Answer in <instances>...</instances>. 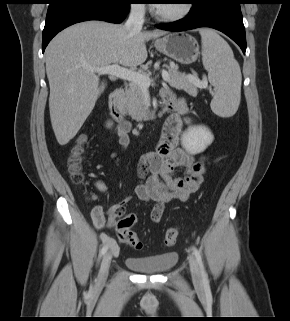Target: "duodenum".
Returning <instances> with one entry per match:
<instances>
[{
  "instance_id": "410a0bca",
  "label": "duodenum",
  "mask_w": 290,
  "mask_h": 321,
  "mask_svg": "<svg viewBox=\"0 0 290 321\" xmlns=\"http://www.w3.org/2000/svg\"><path fill=\"white\" fill-rule=\"evenodd\" d=\"M124 91L121 87H116L109 95L108 103L111 115L118 121H127L131 116L122 108V98ZM185 108V104H180L175 98H163L162 110L164 112H178Z\"/></svg>"
}]
</instances>
